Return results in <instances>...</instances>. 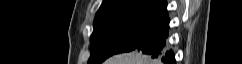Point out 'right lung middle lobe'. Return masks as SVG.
Here are the masks:
<instances>
[{
    "label": "right lung middle lobe",
    "instance_id": "1",
    "mask_svg": "<svg viewBox=\"0 0 242 64\" xmlns=\"http://www.w3.org/2000/svg\"><path fill=\"white\" fill-rule=\"evenodd\" d=\"M165 19L162 13L137 11L111 14L95 20L90 38L91 56L87 64H101L114 54L137 49Z\"/></svg>",
    "mask_w": 242,
    "mask_h": 64
}]
</instances>
